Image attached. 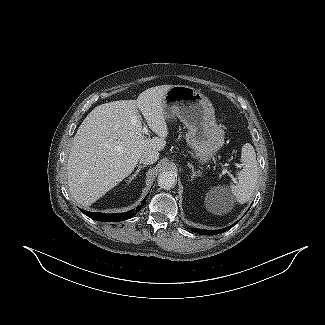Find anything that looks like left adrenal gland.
<instances>
[{
  "instance_id": "obj_1",
  "label": "left adrenal gland",
  "mask_w": 325,
  "mask_h": 325,
  "mask_svg": "<svg viewBox=\"0 0 325 325\" xmlns=\"http://www.w3.org/2000/svg\"><path fill=\"white\" fill-rule=\"evenodd\" d=\"M188 167L191 169V171H192V173H191V180H193L194 179V177H196V176H200V170H198V171H196L195 169H194V166L192 165V164H190V163H188Z\"/></svg>"
}]
</instances>
